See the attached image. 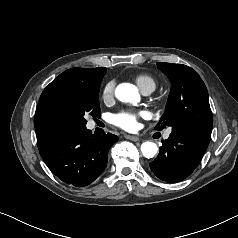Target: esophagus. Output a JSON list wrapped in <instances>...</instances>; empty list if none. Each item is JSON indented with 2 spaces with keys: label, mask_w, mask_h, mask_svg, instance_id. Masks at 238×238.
Returning a JSON list of instances; mask_svg holds the SVG:
<instances>
[{
  "label": "esophagus",
  "mask_w": 238,
  "mask_h": 238,
  "mask_svg": "<svg viewBox=\"0 0 238 238\" xmlns=\"http://www.w3.org/2000/svg\"><path fill=\"white\" fill-rule=\"evenodd\" d=\"M125 138L128 139V140H131V141H139V137H136V136H132V135H125Z\"/></svg>",
  "instance_id": "obj_1"
}]
</instances>
